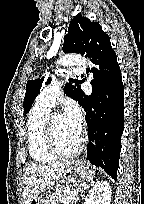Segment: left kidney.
Masks as SVG:
<instances>
[{
    "label": "left kidney",
    "mask_w": 144,
    "mask_h": 204,
    "mask_svg": "<svg viewBox=\"0 0 144 204\" xmlns=\"http://www.w3.org/2000/svg\"><path fill=\"white\" fill-rule=\"evenodd\" d=\"M111 186L107 181H98L85 198V204H110Z\"/></svg>",
    "instance_id": "left-kidney-1"
}]
</instances>
